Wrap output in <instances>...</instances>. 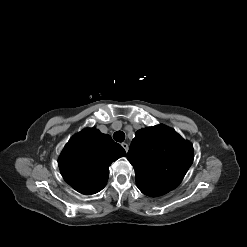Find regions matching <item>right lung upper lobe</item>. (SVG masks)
<instances>
[{
  "mask_svg": "<svg viewBox=\"0 0 247 247\" xmlns=\"http://www.w3.org/2000/svg\"><path fill=\"white\" fill-rule=\"evenodd\" d=\"M121 145L107 134L87 128L74 135L59 157L64 180L78 192L90 195L104 188L109 177V166L125 156Z\"/></svg>",
  "mask_w": 247,
  "mask_h": 247,
  "instance_id": "1",
  "label": "right lung upper lobe"
}]
</instances>
